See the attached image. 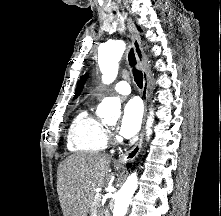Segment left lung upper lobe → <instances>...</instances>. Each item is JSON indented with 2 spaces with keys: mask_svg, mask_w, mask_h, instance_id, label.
<instances>
[{
  "mask_svg": "<svg viewBox=\"0 0 221 216\" xmlns=\"http://www.w3.org/2000/svg\"><path fill=\"white\" fill-rule=\"evenodd\" d=\"M86 79H87V75H84V76L81 78V80H80V82H79V85H78V87H77V89H76L75 98L80 94V92H81V90H82V88H83V84H84V82H85Z\"/></svg>",
  "mask_w": 221,
  "mask_h": 216,
  "instance_id": "1",
  "label": "left lung upper lobe"
}]
</instances>
